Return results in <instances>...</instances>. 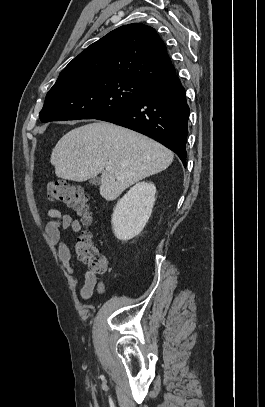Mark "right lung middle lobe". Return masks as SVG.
<instances>
[{"mask_svg":"<svg viewBox=\"0 0 265 407\" xmlns=\"http://www.w3.org/2000/svg\"><path fill=\"white\" fill-rule=\"evenodd\" d=\"M150 86L120 78L88 75L56 82L39 114L44 122L92 119L138 102Z\"/></svg>","mask_w":265,"mask_h":407,"instance_id":"obj_1","label":"right lung middle lobe"}]
</instances>
